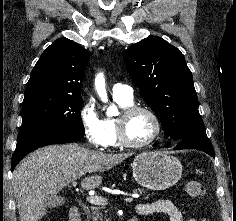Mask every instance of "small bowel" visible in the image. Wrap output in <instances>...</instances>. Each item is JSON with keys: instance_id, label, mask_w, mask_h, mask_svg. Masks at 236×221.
Segmentation results:
<instances>
[{"instance_id": "c3829d8e", "label": "small bowel", "mask_w": 236, "mask_h": 221, "mask_svg": "<svg viewBox=\"0 0 236 221\" xmlns=\"http://www.w3.org/2000/svg\"><path fill=\"white\" fill-rule=\"evenodd\" d=\"M138 216H151L155 214L166 215L170 221H184L181 211L170 200H157L148 203H140L135 209ZM187 221H206L205 219H188Z\"/></svg>"}]
</instances>
